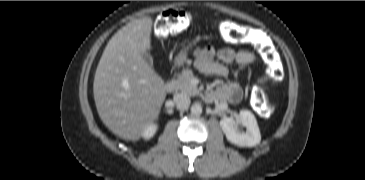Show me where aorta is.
Masks as SVG:
<instances>
[{
    "instance_id": "762f6f07",
    "label": "aorta",
    "mask_w": 365,
    "mask_h": 180,
    "mask_svg": "<svg viewBox=\"0 0 365 180\" xmlns=\"http://www.w3.org/2000/svg\"><path fill=\"white\" fill-rule=\"evenodd\" d=\"M191 113L193 115H200L202 113V106L199 103H194L191 106Z\"/></svg>"
}]
</instances>
